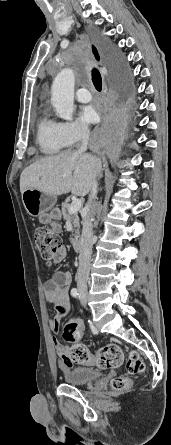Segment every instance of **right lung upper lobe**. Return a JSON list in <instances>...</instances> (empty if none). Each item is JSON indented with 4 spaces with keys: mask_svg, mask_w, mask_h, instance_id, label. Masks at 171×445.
I'll list each match as a JSON object with an SVG mask.
<instances>
[{
    "mask_svg": "<svg viewBox=\"0 0 171 445\" xmlns=\"http://www.w3.org/2000/svg\"><path fill=\"white\" fill-rule=\"evenodd\" d=\"M93 54H94L95 58L97 60H99V54H98V52H97V50H96V48L94 46H93Z\"/></svg>",
    "mask_w": 171,
    "mask_h": 445,
    "instance_id": "right-lung-upper-lobe-1",
    "label": "right lung upper lobe"
}]
</instances>
